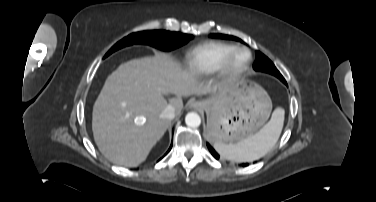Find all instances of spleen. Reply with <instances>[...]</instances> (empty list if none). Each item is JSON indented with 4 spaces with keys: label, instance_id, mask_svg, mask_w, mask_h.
I'll return each mask as SVG.
<instances>
[{
    "label": "spleen",
    "instance_id": "spleen-1",
    "mask_svg": "<svg viewBox=\"0 0 376 202\" xmlns=\"http://www.w3.org/2000/svg\"><path fill=\"white\" fill-rule=\"evenodd\" d=\"M284 122V109L276 108L270 121L256 134L236 143L215 142V150L235 162H252L266 155L276 144Z\"/></svg>",
    "mask_w": 376,
    "mask_h": 202
}]
</instances>
